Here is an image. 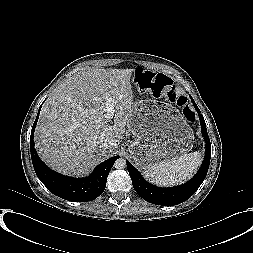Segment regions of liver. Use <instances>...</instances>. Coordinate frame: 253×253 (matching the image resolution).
<instances>
[{"instance_id": "liver-1", "label": "liver", "mask_w": 253, "mask_h": 253, "mask_svg": "<svg viewBox=\"0 0 253 253\" xmlns=\"http://www.w3.org/2000/svg\"><path fill=\"white\" fill-rule=\"evenodd\" d=\"M134 71L84 68L54 89L35 129V148L49 167L83 176L117 151L134 104ZM108 98L114 100V125L105 117Z\"/></svg>"}]
</instances>
